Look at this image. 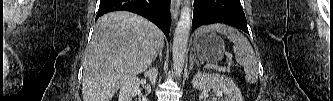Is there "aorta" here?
<instances>
[{"instance_id": "1", "label": "aorta", "mask_w": 333, "mask_h": 101, "mask_svg": "<svg viewBox=\"0 0 333 101\" xmlns=\"http://www.w3.org/2000/svg\"><path fill=\"white\" fill-rule=\"evenodd\" d=\"M191 27L190 8L185 6L180 15L173 38L172 56L173 67L177 76H180L185 62L186 50L188 45Z\"/></svg>"}]
</instances>
